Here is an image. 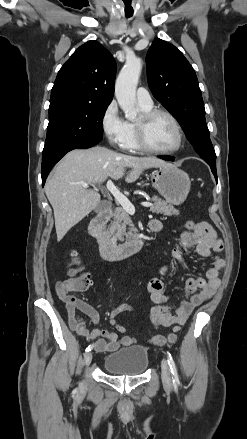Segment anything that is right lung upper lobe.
Instances as JSON below:
<instances>
[{"mask_svg": "<svg viewBox=\"0 0 247 439\" xmlns=\"http://www.w3.org/2000/svg\"><path fill=\"white\" fill-rule=\"evenodd\" d=\"M116 62L97 41L80 46L61 67L51 91L50 105L60 102L110 104Z\"/></svg>", "mask_w": 247, "mask_h": 439, "instance_id": "right-lung-upper-lobe-1", "label": "right lung upper lobe"}]
</instances>
